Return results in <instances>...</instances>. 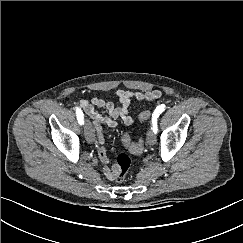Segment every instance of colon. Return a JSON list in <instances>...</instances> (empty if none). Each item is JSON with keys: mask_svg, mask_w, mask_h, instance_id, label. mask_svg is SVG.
I'll return each mask as SVG.
<instances>
[{"mask_svg": "<svg viewBox=\"0 0 243 243\" xmlns=\"http://www.w3.org/2000/svg\"><path fill=\"white\" fill-rule=\"evenodd\" d=\"M150 115H151L150 111H143L139 115V120L141 122H145L146 120L149 119ZM124 143H125V146L127 147V149L131 153H134V154H139L144 149V143L142 140H140L138 142H133L130 140L129 137L125 136ZM130 164H131V161H130V158L128 155L120 154L117 156L116 162L113 165V169L115 172V177H114L115 181L122 182L125 179L126 174L130 168Z\"/></svg>", "mask_w": 243, "mask_h": 243, "instance_id": "obj_1", "label": "colon"}]
</instances>
